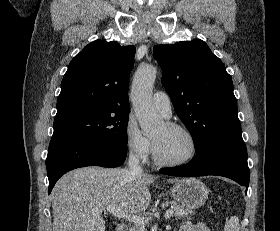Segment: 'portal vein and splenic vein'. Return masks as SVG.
Wrapping results in <instances>:
<instances>
[{
	"label": "portal vein and splenic vein",
	"mask_w": 280,
	"mask_h": 231,
	"mask_svg": "<svg viewBox=\"0 0 280 231\" xmlns=\"http://www.w3.org/2000/svg\"><path fill=\"white\" fill-rule=\"evenodd\" d=\"M107 211H110V213H113V215H117V217H125V219H128V221H134V223H148L149 219H146V217H142V215H126L124 213L123 209H120V207H106ZM174 211L173 209H166L165 217L166 219H169L171 215H173Z\"/></svg>",
	"instance_id": "obj_1"
}]
</instances>
